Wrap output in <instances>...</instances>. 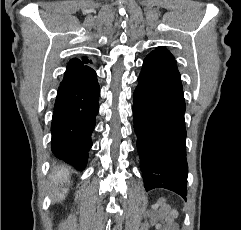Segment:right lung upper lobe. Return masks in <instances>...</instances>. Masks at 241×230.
I'll return each instance as SVG.
<instances>
[{
	"mask_svg": "<svg viewBox=\"0 0 241 230\" xmlns=\"http://www.w3.org/2000/svg\"><path fill=\"white\" fill-rule=\"evenodd\" d=\"M76 60H77L78 62H81V63H83V62H84V63H87V62H88V59H86V58L83 59V62L80 61L79 59H76Z\"/></svg>",
	"mask_w": 241,
	"mask_h": 230,
	"instance_id": "right-lung-upper-lobe-1",
	"label": "right lung upper lobe"
}]
</instances>
